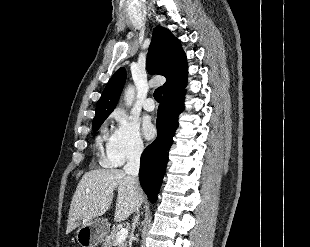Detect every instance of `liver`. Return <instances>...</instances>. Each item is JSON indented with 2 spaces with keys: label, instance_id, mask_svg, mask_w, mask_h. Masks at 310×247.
<instances>
[{
  "label": "liver",
  "instance_id": "obj_1",
  "mask_svg": "<svg viewBox=\"0 0 310 247\" xmlns=\"http://www.w3.org/2000/svg\"><path fill=\"white\" fill-rule=\"evenodd\" d=\"M118 189L114 220H126L143 202L140 186L133 187L132 179L120 169H95L85 173L73 195L66 233L81 222L102 216L111 206L114 190Z\"/></svg>",
  "mask_w": 310,
  "mask_h": 247
}]
</instances>
